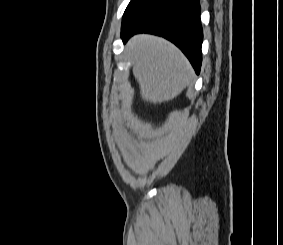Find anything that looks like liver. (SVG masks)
<instances>
[{
  "mask_svg": "<svg viewBox=\"0 0 283 245\" xmlns=\"http://www.w3.org/2000/svg\"><path fill=\"white\" fill-rule=\"evenodd\" d=\"M133 75L144 101L156 104L176 98L194 78L181 51L153 35H136L128 42Z\"/></svg>",
  "mask_w": 283,
  "mask_h": 245,
  "instance_id": "1",
  "label": "liver"
}]
</instances>
